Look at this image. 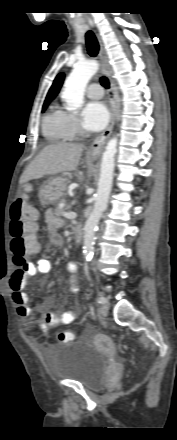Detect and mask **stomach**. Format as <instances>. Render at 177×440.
I'll return each mask as SVG.
<instances>
[{
	"label": "stomach",
	"mask_w": 177,
	"mask_h": 440,
	"mask_svg": "<svg viewBox=\"0 0 177 440\" xmlns=\"http://www.w3.org/2000/svg\"><path fill=\"white\" fill-rule=\"evenodd\" d=\"M90 159L93 160L95 157H90ZM66 186L67 178L64 175L50 178L39 190L40 202L44 205L57 203L63 197Z\"/></svg>",
	"instance_id": "0dacf381"
}]
</instances>
